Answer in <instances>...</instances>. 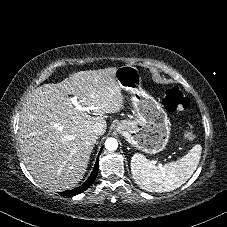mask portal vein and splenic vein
<instances>
[{
  "instance_id": "1",
  "label": "portal vein and splenic vein",
  "mask_w": 227,
  "mask_h": 227,
  "mask_svg": "<svg viewBox=\"0 0 227 227\" xmlns=\"http://www.w3.org/2000/svg\"><path fill=\"white\" fill-rule=\"evenodd\" d=\"M71 102H72V104H73L78 110H80V111L88 110V108H84V107H82V106L79 104V102H78V100H77V97H72V98H71Z\"/></svg>"
}]
</instances>
